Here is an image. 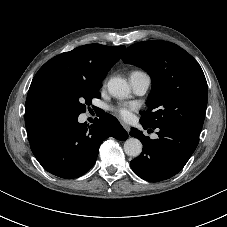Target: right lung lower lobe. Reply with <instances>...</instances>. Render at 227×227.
<instances>
[{"label":"right lung lower lobe","mask_w":227,"mask_h":227,"mask_svg":"<svg viewBox=\"0 0 227 227\" xmlns=\"http://www.w3.org/2000/svg\"><path fill=\"white\" fill-rule=\"evenodd\" d=\"M125 140L127 132L116 118L104 113L94 123H79L78 117L59 121L30 141L41 166L61 178H77L94 165L101 143L108 137Z\"/></svg>","instance_id":"1"}]
</instances>
